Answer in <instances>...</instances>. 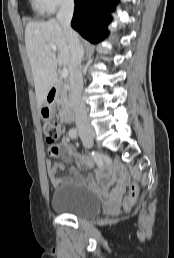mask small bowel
Returning <instances> with one entry per match:
<instances>
[{
    "mask_svg": "<svg viewBox=\"0 0 174 258\" xmlns=\"http://www.w3.org/2000/svg\"><path fill=\"white\" fill-rule=\"evenodd\" d=\"M52 151H57V155H60L61 152L65 153V156L59 163H47V173L48 177L51 181L52 186L55 188L57 185L62 181V179L57 175L58 170L63 169L65 164L70 160L73 159L75 164L82 169L90 170L98 164L97 160L93 156H86L77 153L74 147L68 142L67 139H63L61 144L56 148H50V155ZM53 156V157H56ZM73 180L78 183H84V179L78 175L73 174ZM97 180L103 184H106L110 180V173L105 170H97ZM94 182L93 180H91ZM129 182L128 175L125 170L118 169V179L116 182L115 187L112 190V193L109 195L111 200H117V198L122 194L124 188Z\"/></svg>",
    "mask_w": 174,
    "mask_h": 258,
    "instance_id": "small-bowel-1",
    "label": "small bowel"
}]
</instances>
